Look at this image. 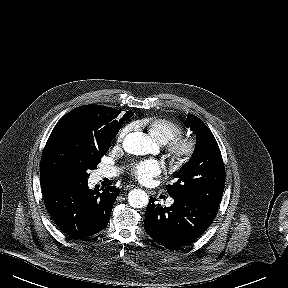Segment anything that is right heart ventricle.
<instances>
[{"instance_id":"1","label":"right heart ventricle","mask_w":288,"mask_h":288,"mask_svg":"<svg viewBox=\"0 0 288 288\" xmlns=\"http://www.w3.org/2000/svg\"><path fill=\"white\" fill-rule=\"evenodd\" d=\"M138 125L146 128L149 136L160 144L166 143L183 132L180 123L165 117L144 118L138 121Z\"/></svg>"}]
</instances>
